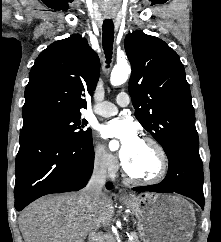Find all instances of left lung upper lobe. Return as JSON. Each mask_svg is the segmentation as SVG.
Instances as JSON below:
<instances>
[{
  "label": "left lung upper lobe",
  "mask_w": 221,
  "mask_h": 242,
  "mask_svg": "<svg viewBox=\"0 0 221 242\" xmlns=\"http://www.w3.org/2000/svg\"><path fill=\"white\" fill-rule=\"evenodd\" d=\"M125 51L132 66L129 93L141 125L168 158L181 147L199 149L190 87L177 53L141 31L126 36Z\"/></svg>",
  "instance_id": "obj_1"
}]
</instances>
